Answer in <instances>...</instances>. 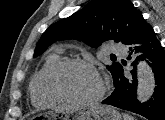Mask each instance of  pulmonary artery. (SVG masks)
I'll list each match as a JSON object with an SVG mask.
<instances>
[{"label":"pulmonary artery","instance_id":"pulmonary-artery-1","mask_svg":"<svg viewBox=\"0 0 165 120\" xmlns=\"http://www.w3.org/2000/svg\"><path fill=\"white\" fill-rule=\"evenodd\" d=\"M109 51L117 54V55H125L126 54V49L122 45L119 44H112L109 47Z\"/></svg>","mask_w":165,"mask_h":120}]
</instances>
